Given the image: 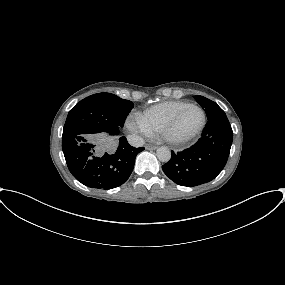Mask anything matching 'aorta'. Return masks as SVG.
<instances>
[{
    "label": "aorta",
    "mask_w": 285,
    "mask_h": 285,
    "mask_svg": "<svg viewBox=\"0 0 285 285\" xmlns=\"http://www.w3.org/2000/svg\"><path fill=\"white\" fill-rule=\"evenodd\" d=\"M157 158L161 162H168L171 158V152L167 147H159L156 151Z\"/></svg>",
    "instance_id": "obj_1"
}]
</instances>
